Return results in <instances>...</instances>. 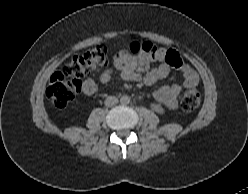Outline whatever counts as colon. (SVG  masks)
<instances>
[{
  "label": "colon",
  "instance_id": "colon-1",
  "mask_svg": "<svg viewBox=\"0 0 248 194\" xmlns=\"http://www.w3.org/2000/svg\"><path fill=\"white\" fill-rule=\"evenodd\" d=\"M154 45L149 42H132L129 50L132 54L153 52ZM164 60L172 67L180 63V56L172 50H165ZM108 61L107 48L100 44L84 53L74 56L61 71L52 75L46 93L57 108L65 107L79 93L82 79L103 67ZM201 101V94L195 88L185 91L181 99V108L185 112L195 110Z\"/></svg>",
  "mask_w": 248,
  "mask_h": 194
}]
</instances>
